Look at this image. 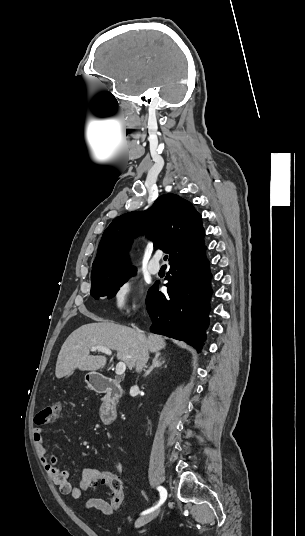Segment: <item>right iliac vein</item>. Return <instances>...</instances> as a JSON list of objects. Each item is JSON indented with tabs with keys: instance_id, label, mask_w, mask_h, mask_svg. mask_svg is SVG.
Returning a JSON list of instances; mask_svg holds the SVG:
<instances>
[{
	"instance_id": "right-iliac-vein-1",
	"label": "right iliac vein",
	"mask_w": 305,
	"mask_h": 536,
	"mask_svg": "<svg viewBox=\"0 0 305 536\" xmlns=\"http://www.w3.org/2000/svg\"><path fill=\"white\" fill-rule=\"evenodd\" d=\"M158 515V510L152 512V513H149V514H146L140 518H138L135 522V526L136 527H141L145 524H147L148 522H150L151 520H153L154 518H156Z\"/></svg>"
}]
</instances>
